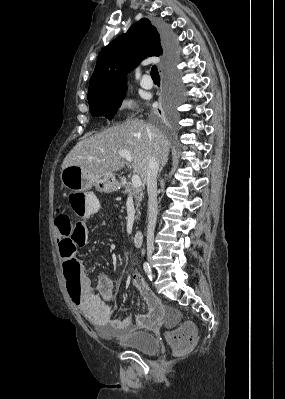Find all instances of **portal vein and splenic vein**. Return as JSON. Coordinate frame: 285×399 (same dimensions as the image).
Listing matches in <instances>:
<instances>
[{"label": "portal vein and splenic vein", "mask_w": 285, "mask_h": 399, "mask_svg": "<svg viewBox=\"0 0 285 399\" xmlns=\"http://www.w3.org/2000/svg\"><path fill=\"white\" fill-rule=\"evenodd\" d=\"M118 154H119L120 157L126 159L129 163H131L132 160H133L131 155L128 152H126V151H119ZM132 185L134 187H136V188L140 187L142 185V181H141V178H140L139 175L134 174L132 176Z\"/></svg>", "instance_id": "1"}]
</instances>
